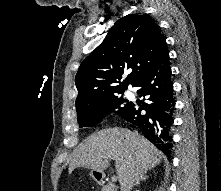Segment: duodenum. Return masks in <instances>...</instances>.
<instances>
[{"label":"duodenum","instance_id":"obj_1","mask_svg":"<svg viewBox=\"0 0 221 191\" xmlns=\"http://www.w3.org/2000/svg\"><path fill=\"white\" fill-rule=\"evenodd\" d=\"M98 181L99 182H103L104 181V176L103 175H99L98 176Z\"/></svg>","mask_w":221,"mask_h":191}]
</instances>
